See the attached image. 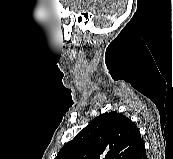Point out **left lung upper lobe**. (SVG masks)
<instances>
[{
	"mask_svg": "<svg viewBox=\"0 0 173 159\" xmlns=\"http://www.w3.org/2000/svg\"><path fill=\"white\" fill-rule=\"evenodd\" d=\"M143 143L134 122L117 112L95 117L55 159H129Z\"/></svg>",
	"mask_w": 173,
	"mask_h": 159,
	"instance_id": "5c2ea615",
	"label": "left lung upper lobe"
}]
</instances>
